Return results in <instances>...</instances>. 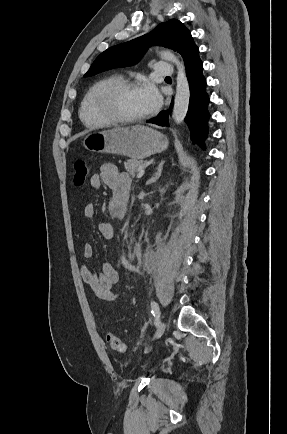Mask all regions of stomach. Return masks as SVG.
<instances>
[{"label": "stomach", "instance_id": "obj_1", "mask_svg": "<svg viewBox=\"0 0 287 434\" xmlns=\"http://www.w3.org/2000/svg\"><path fill=\"white\" fill-rule=\"evenodd\" d=\"M82 144L88 151L117 154L138 160L163 152L169 141L162 133L137 125L89 133Z\"/></svg>", "mask_w": 287, "mask_h": 434}]
</instances>
